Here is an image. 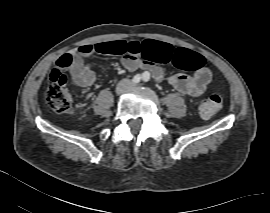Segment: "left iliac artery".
I'll use <instances>...</instances> for the list:
<instances>
[{
  "label": "left iliac artery",
  "mask_w": 270,
  "mask_h": 213,
  "mask_svg": "<svg viewBox=\"0 0 270 213\" xmlns=\"http://www.w3.org/2000/svg\"><path fill=\"white\" fill-rule=\"evenodd\" d=\"M142 80L144 82H148L150 80V73L149 72H144Z\"/></svg>",
  "instance_id": "left-iliac-artery-1"
}]
</instances>
